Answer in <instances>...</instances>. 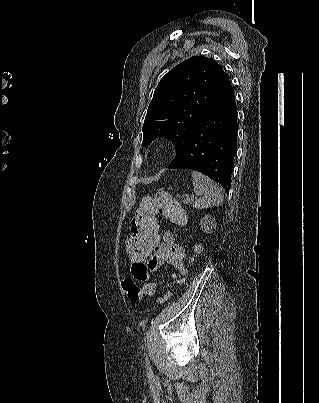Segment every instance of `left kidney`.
I'll return each instance as SVG.
<instances>
[{"label": "left kidney", "mask_w": 319, "mask_h": 403, "mask_svg": "<svg viewBox=\"0 0 319 403\" xmlns=\"http://www.w3.org/2000/svg\"><path fill=\"white\" fill-rule=\"evenodd\" d=\"M208 224L211 226V228L214 226L213 225V218H211V216L207 215L201 221V225H202V227L204 228V230L206 232L210 231V229L208 228Z\"/></svg>", "instance_id": "5707ae66"}]
</instances>
